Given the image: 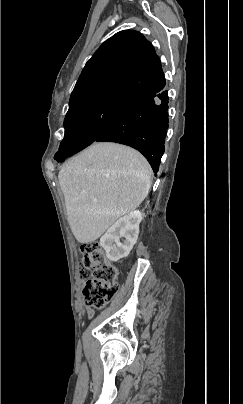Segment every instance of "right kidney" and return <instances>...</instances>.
I'll return each instance as SVG.
<instances>
[{"instance_id": "1", "label": "right kidney", "mask_w": 243, "mask_h": 404, "mask_svg": "<svg viewBox=\"0 0 243 404\" xmlns=\"http://www.w3.org/2000/svg\"><path fill=\"white\" fill-rule=\"evenodd\" d=\"M140 222H142V214L139 210H134L127 216L119 218L106 234L101 236L100 246L104 248L106 256L111 262H118L130 254L138 240ZM120 238H124V240L120 242Z\"/></svg>"}]
</instances>
